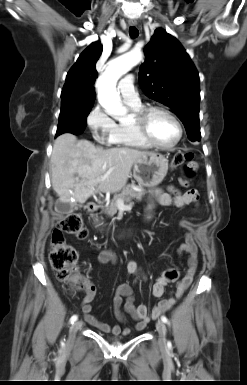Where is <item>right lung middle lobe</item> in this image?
Returning <instances> with one entry per match:
<instances>
[{
	"label": "right lung middle lobe",
	"instance_id": "right-lung-middle-lobe-1",
	"mask_svg": "<svg viewBox=\"0 0 247 385\" xmlns=\"http://www.w3.org/2000/svg\"><path fill=\"white\" fill-rule=\"evenodd\" d=\"M93 104L75 101L61 102V112L56 137L63 133L81 134Z\"/></svg>",
	"mask_w": 247,
	"mask_h": 385
}]
</instances>
